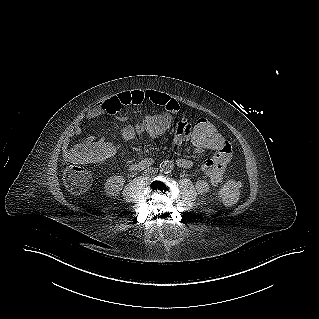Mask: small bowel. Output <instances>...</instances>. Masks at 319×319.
<instances>
[{"label": "small bowel", "instance_id": "1", "mask_svg": "<svg viewBox=\"0 0 319 319\" xmlns=\"http://www.w3.org/2000/svg\"><path fill=\"white\" fill-rule=\"evenodd\" d=\"M143 102L151 103L158 108H166L168 113H175L178 111V108H181V99H171L168 95L155 90H135L130 92H121L113 97L101 101L85 113V118L94 119L103 115H113L118 113L124 106L141 104ZM171 128L172 130H175L173 139L174 143L179 146H185L189 135L192 134L191 121H172ZM81 133L82 130L78 124H75L71 127L68 132V137L65 139L63 144L65 154L69 150L70 137L78 136ZM102 142L103 141H96L93 137H89L85 140V143L95 144L99 147ZM192 145L194 147L193 151L195 154L200 155L204 152L193 142ZM218 147L220 151L215 152L213 157L205 160L201 166L203 174L208 178L209 184L213 187L219 185L223 181L228 171V161L230 158V153L232 152V147L225 139L219 141ZM102 162H105L102 158L101 160L97 161V163ZM152 163V159H145L141 162L132 164L131 168L133 170H137L145 168ZM177 165L182 168H190L192 167V161L187 158H179L177 159Z\"/></svg>", "mask_w": 319, "mask_h": 319}]
</instances>
